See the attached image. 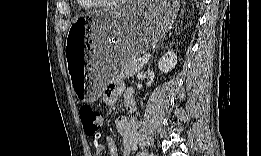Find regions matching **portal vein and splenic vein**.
<instances>
[{
  "label": "portal vein and splenic vein",
  "mask_w": 261,
  "mask_h": 156,
  "mask_svg": "<svg viewBox=\"0 0 261 156\" xmlns=\"http://www.w3.org/2000/svg\"><path fill=\"white\" fill-rule=\"evenodd\" d=\"M150 56H151L150 54L143 55L142 57H139V58H138V61H139V62L148 61L149 58H150Z\"/></svg>",
  "instance_id": "1"
}]
</instances>
